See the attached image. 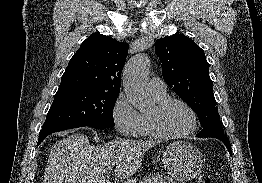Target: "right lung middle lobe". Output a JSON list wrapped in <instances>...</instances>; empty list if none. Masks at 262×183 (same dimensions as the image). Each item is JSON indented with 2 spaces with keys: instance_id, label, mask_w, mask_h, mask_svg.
I'll list each match as a JSON object with an SVG mask.
<instances>
[{
  "instance_id": "dd1d6c3e",
  "label": "right lung middle lobe",
  "mask_w": 262,
  "mask_h": 183,
  "mask_svg": "<svg viewBox=\"0 0 262 183\" xmlns=\"http://www.w3.org/2000/svg\"><path fill=\"white\" fill-rule=\"evenodd\" d=\"M118 92L71 90L56 93L42 130L90 126H114L113 108Z\"/></svg>"
}]
</instances>
